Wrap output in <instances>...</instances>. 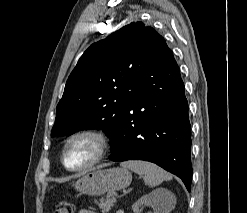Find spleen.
<instances>
[{
    "mask_svg": "<svg viewBox=\"0 0 247 213\" xmlns=\"http://www.w3.org/2000/svg\"><path fill=\"white\" fill-rule=\"evenodd\" d=\"M121 166L125 169L144 176V182L149 187H154L161 184L163 181L171 180L172 175L159 166L146 161H126L122 162ZM165 196L170 195L169 192L161 191ZM167 210V209H166Z\"/></svg>",
    "mask_w": 247,
    "mask_h": 213,
    "instance_id": "1",
    "label": "spleen"
}]
</instances>
